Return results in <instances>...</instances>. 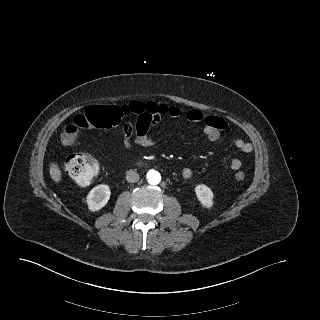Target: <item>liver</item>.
<instances>
[{
	"label": "liver",
	"mask_w": 320,
	"mask_h": 320,
	"mask_svg": "<svg viewBox=\"0 0 320 320\" xmlns=\"http://www.w3.org/2000/svg\"><path fill=\"white\" fill-rule=\"evenodd\" d=\"M49 173L54 182L59 183L62 180L61 170L55 162L50 164Z\"/></svg>",
	"instance_id": "1"
}]
</instances>
